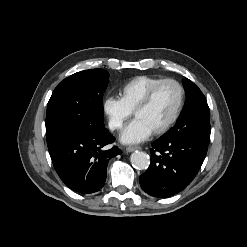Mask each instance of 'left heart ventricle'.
<instances>
[{"instance_id":"b2bd125f","label":"left heart ventricle","mask_w":247,"mask_h":247,"mask_svg":"<svg viewBox=\"0 0 247 247\" xmlns=\"http://www.w3.org/2000/svg\"><path fill=\"white\" fill-rule=\"evenodd\" d=\"M179 100L175 85L165 84L155 94L150 105L135 116L152 132L164 125L174 113Z\"/></svg>"}]
</instances>
